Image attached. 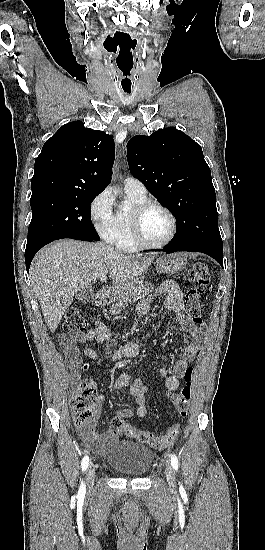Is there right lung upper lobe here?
<instances>
[{"label": "right lung upper lobe", "mask_w": 265, "mask_h": 550, "mask_svg": "<svg viewBox=\"0 0 265 550\" xmlns=\"http://www.w3.org/2000/svg\"><path fill=\"white\" fill-rule=\"evenodd\" d=\"M114 156L110 135L85 128L82 121L67 123L45 142L35 160L32 193L99 194L110 182Z\"/></svg>", "instance_id": "1"}]
</instances>
